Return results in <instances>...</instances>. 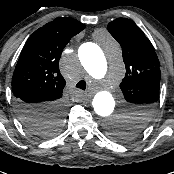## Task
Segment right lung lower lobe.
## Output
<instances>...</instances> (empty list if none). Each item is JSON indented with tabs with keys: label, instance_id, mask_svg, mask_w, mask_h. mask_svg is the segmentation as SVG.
<instances>
[{
	"label": "right lung lower lobe",
	"instance_id": "right-lung-lower-lobe-1",
	"mask_svg": "<svg viewBox=\"0 0 174 174\" xmlns=\"http://www.w3.org/2000/svg\"><path fill=\"white\" fill-rule=\"evenodd\" d=\"M15 101H16V109L21 119H22L21 113H32V112L37 113L44 110L48 106H56L58 109L60 110L62 109V106L61 104H59L58 101L52 102V103L41 101L36 103L28 98H18V99H15Z\"/></svg>",
	"mask_w": 174,
	"mask_h": 174
}]
</instances>
